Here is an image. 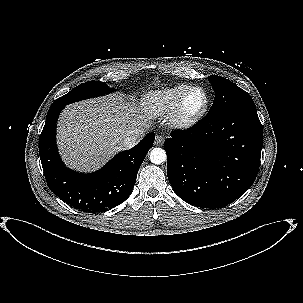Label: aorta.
Wrapping results in <instances>:
<instances>
[{
	"mask_svg": "<svg viewBox=\"0 0 303 303\" xmlns=\"http://www.w3.org/2000/svg\"><path fill=\"white\" fill-rule=\"evenodd\" d=\"M166 152L162 148H154L150 152V161L154 164H161L166 161Z\"/></svg>",
	"mask_w": 303,
	"mask_h": 303,
	"instance_id": "1",
	"label": "aorta"
}]
</instances>
